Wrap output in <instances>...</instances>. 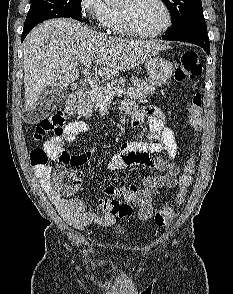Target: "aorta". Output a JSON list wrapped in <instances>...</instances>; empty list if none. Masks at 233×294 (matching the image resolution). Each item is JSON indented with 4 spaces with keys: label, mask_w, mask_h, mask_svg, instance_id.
<instances>
[{
    "label": "aorta",
    "mask_w": 233,
    "mask_h": 294,
    "mask_svg": "<svg viewBox=\"0 0 233 294\" xmlns=\"http://www.w3.org/2000/svg\"><path fill=\"white\" fill-rule=\"evenodd\" d=\"M120 0H104V2L108 5H112V4H116L118 3Z\"/></svg>",
    "instance_id": "aorta-1"
}]
</instances>
